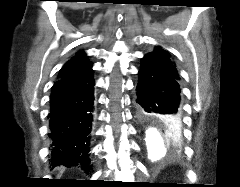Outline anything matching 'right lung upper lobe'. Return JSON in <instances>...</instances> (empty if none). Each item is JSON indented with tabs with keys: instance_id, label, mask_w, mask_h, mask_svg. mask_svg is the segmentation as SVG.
I'll return each mask as SVG.
<instances>
[{
	"instance_id": "1",
	"label": "right lung upper lobe",
	"mask_w": 240,
	"mask_h": 187,
	"mask_svg": "<svg viewBox=\"0 0 240 187\" xmlns=\"http://www.w3.org/2000/svg\"><path fill=\"white\" fill-rule=\"evenodd\" d=\"M92 64L85 52L79 51L75 56H73L60 70L58 78L63 77L85 65Z\"/></svg>"
}]
</instances>
